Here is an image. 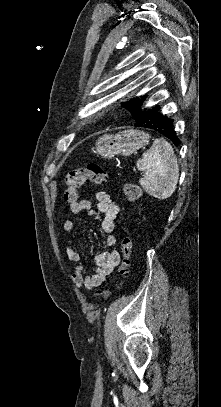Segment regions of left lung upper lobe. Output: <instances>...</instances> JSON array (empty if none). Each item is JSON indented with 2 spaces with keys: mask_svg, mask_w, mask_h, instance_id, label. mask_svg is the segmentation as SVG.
<instances>
[{
  "mask_svg": "<svg viewBox=\"0 0 221 407\" xmlns=\"http://www.w3.org/2000/svg\"><path fill=\"white\" fill-rule=\"evenodd\" d=\"M141 105V99H139L138 97L132 98L129 101L124 103V107L129 110V112L132 114V116L135 118L139 107Z\"/></svg>",
  "mask_w": 221,
  "mask_h": 407,
  "instance_id": "left-lung-upper-lobe-1",
  "label": "left lung upper lobe"
}]
</instances>
